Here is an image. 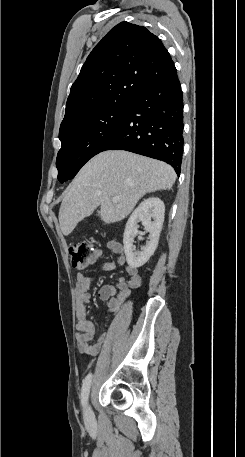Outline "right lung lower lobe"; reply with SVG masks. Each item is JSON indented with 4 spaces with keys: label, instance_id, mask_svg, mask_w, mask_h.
Returning a JSON list of instances; mask_svg holds the SVG:
<instances>
[{
    "label": "right lung lower lobe",
    "instance_id": "right-lung-lower-lobe-1",
    "mask_svg": "<svg viewBox=\"0 0 245 457\" xmlns=\"http://www.w3.org/2000/svg\"><path fill=\"white\" fill-rule=\"evenodd\" d=\"M113 149L162 160L180 175L183 97L177 72L152 81L135 96L120 127L102 151Z\"/></svg>",
    "mask_w": 245,
    "mask_h": 457
}]
</instances>
